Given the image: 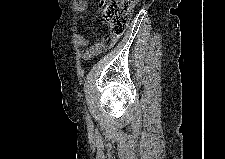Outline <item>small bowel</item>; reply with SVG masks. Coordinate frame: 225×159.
<instances>
[{"label": "small bowel", "instance_id": "c3829d8e", "mask_svg": "<svg viewBox=\"0 0 225 159\" xmlns=\"http://www.w3.org/2000/svg\"><path fill=\"white\" fill-rule=\"evenodd\" d=\"M86 9H87L86 1L80 0L76 2L75 13L77 15L83 14L86 11ZM74 40L79 47H86V49L83 52H81V57L87 60L99 55L106 49L111 48L118 40V37L109 35L107 38L102 39L91 46H88L89 44L88 35L76 32L74 34Z\"/></svg>", "mask_w": 225, "mask_h": 159}]
</instances>
